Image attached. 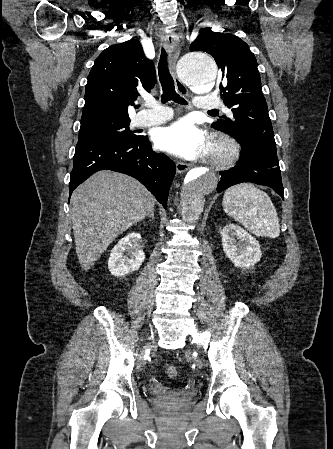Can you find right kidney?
Wrapping results in <instances>:
<instances>
[{
	"mask_svg": "<svg viewBox=\"0 0 333 449\" xmlns=\"http://www.w3.org/2000/svg\"><path fill=\"white\" fill-rule=\"evenodd\" d=\"M144 259L141 235L133 232L122 238L111 250L108 268L116 277L125 276L138 270Z\"/></svg>",
	"mask_w": 333,
	"mask_h": 449,
	"instance_id": "ca27d5eb",
	"label": "right kidney"
}]
</instances>
